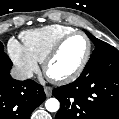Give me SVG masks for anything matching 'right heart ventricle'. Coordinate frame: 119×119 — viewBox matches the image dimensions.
I'll use <instances>...</instances> for the list:
<instances>
[{
	"instance_id": "1",
	"label": "right heart ventricle",
	"mask_w": 119,
	"mask_h": 119,
	"mask_svg": "<svg viewBox=\"0 0 119 119\" xmlns=\"http://www.w3.org/2000/svg\"><path fill=\"white\" fill-rule=\"evenodd\" d=\"M72 31L75 29L70 26L53 24L25 31L21 34V39L27 51L37 62H43L55 43Z\"/></svg>"
}]
</instances>
